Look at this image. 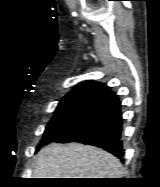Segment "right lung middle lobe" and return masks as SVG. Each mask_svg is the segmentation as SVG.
<instances>
[{
    "instance_id": "dd1d6c3e",
    "label": "right lung middle lobe",
    "mask_w": 160,
    "mask_h": 187,
    "mask_svg": "<svg viewBox=\"0 0 160 187\" xmlns=\"http://www.w3.org/2000/svg\"><path fill=\"white\" fill-rule=\"evenodd\" d=\"M96 106L92 104L58 106L38 147L54 142L71 132L93 113Z\"/></svg>"
}]
</instances>
